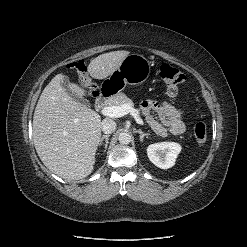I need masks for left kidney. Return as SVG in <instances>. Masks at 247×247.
<instances>
[{
	"label": "left kidney",
	"instance_id": "obj_1",
	"mask_svg": "<svg viewBox=\"0 0 247 247\" xmlns=\"http://www.w3.org/2000/svg\"><path fill=\"white\" fill-rule=\"evenodd\" d=\"M181 149L178 143L160 142L149 145L147 155L155 166L161 169H169L174 166Z\"/></svg>",
	"mask_w": 247,
	"mask_h": 247
}]
</instances>
